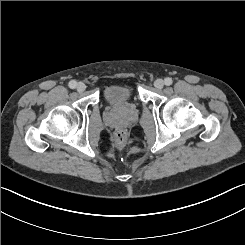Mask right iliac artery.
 Returning <instances> with one entry per match:
<instances>
[{
  "mask_svg": "<svg viewBox=\"0 0 245 245\" xmlns=\"http://www.w3.org/2000/svg\"><path fill=\"white\" fill-rule=\"evenodd\" d=\"M76 85H77V83H76V81H74V80H72V81L69 82V87H70L71 89H74V88L76 87Z\"/></svg>",
  "mask_w": 245,
  "mask_h": 245,
  "instance_id": "82829eb1",
  "label": "right iliac artery"
}]
</instances>
